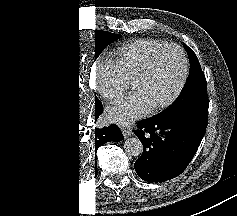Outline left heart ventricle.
<instances>
[{
    "label": "left heart ventricle",
    "mask_w": 237,
    "mask_h": 216,
    "mask_svg": "<svg viewBox=\"0 0 237 216\" xmlns=\"http://www.w3.org/2000/svg\"><path fill=\"white\" fill-rule=\"evenodd\" d=\"M177 79V63L161 68H151L139 80L136 96L144 101H154L167 96Z\"/></svg>",
    "instance_id": "left-heart-ventricle-1"
}]
</instances>
